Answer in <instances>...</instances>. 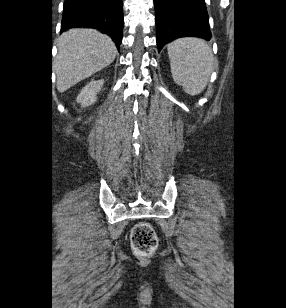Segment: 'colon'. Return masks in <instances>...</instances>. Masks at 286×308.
<instances>
[{
  "instance_id": "colon-1",
  "label": "colon",
  "mask_w": 286,
  "mask_h": 308,
  "mask_svg": "<svg viewBox=\"0 0 286 308\" xmlns=\"http://www.w3.org/2000/svg\"><path fill=\"white\" fill-rule=\"evenodd\" d=\"M130 241L133 250L141 256L152 254L158 246L156 232L153 227L146 222H141L132 229Z\"/></svg>"
}]
</instances>
